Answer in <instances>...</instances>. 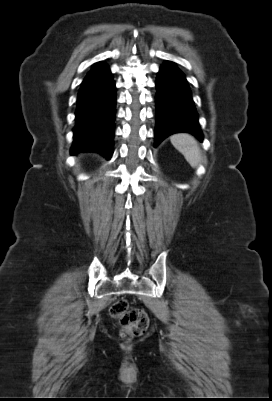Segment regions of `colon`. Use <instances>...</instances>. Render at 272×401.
Here are the masks:
<instances>
[{
	"instance_id": "obj_1",
	"label": "colon",
	"mask_w": 272,
	"mask_h": 401,
	"mask_svg": "<svg viewBox=\"0 0 272 401\" xmlns=\"http://www.w3.org/2000/svg\"><path fill=\"white\" fill-rule=\"evenodd\" d=\"M110 316L119 320L121 337L124 341L142 335L148 328L149 319L146 312L140 308L130 307L125 299L115 301L110 309Z\"/></svg>"
}]
</instances>
